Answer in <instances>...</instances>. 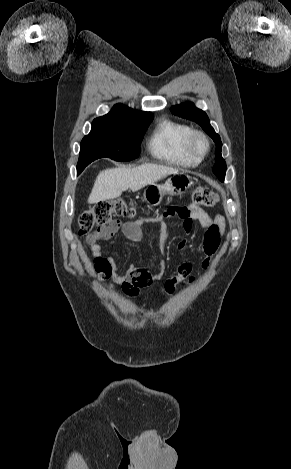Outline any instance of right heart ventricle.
Masks as SVG:
<instances>
[{
  "instance_id": "right-heart-ventricle-1",
  "label": "right heart ventricle",
  "mask_w": 291,
  "mask_h": 469,
  "mask_svg": "<svg viewBox=\"0 0 291 469\" xmlns=\"http://www.w3.org/2000/svg\"><path fill=\"white\" fill-rule=\"evenodd\" d=\"M193 129L184 123L163 118L157 122L148 141L147 151L156 160L169 165L192 168L199 160L186 150V140Z\"/></svg>"
}]
</instances>
